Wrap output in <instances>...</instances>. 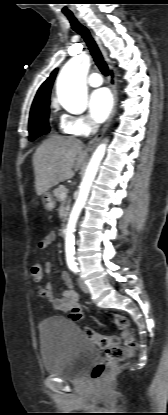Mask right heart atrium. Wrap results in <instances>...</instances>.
<instances>
[{"instance_id":"d8ad5b80","label":"right heart atrium","mask_w":168,"mask_h":415,"mask_svg":"<svg viewBox=\"0 0 168 415\" xmlns=\"http://www.w3.org/2000/svg\"><path fill=\"white\" fill-rule=\"evenodd\" d=\"M61 122L65 130L72 135L88 136L94 132L96 126L85 116L62 115Z\"/></svg>"}]
</instances>
